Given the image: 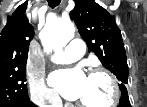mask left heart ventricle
<instances>
[{
	"instance_id": "left-heart-ventricle-1",
	"label": "left heart ventricle",
	"mask_w": 147,
	"mask_h": 107,
	"mask_svg": "<svg viewBox=\"0 0 147 107\" xmlns=\"http://www.w3.org/2000/svg\"><path fill=\"white\" fill-rule=\"evenodd\" d=\"M111 98V89L107 80L102 76L88 77L83 94L78 99L80 102L92 106L107 103Z\"/></svg>"
}]
</instances>
